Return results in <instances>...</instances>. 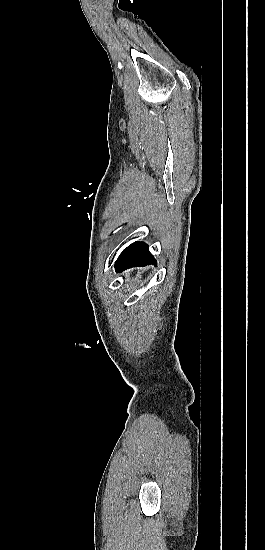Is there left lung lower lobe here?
Segmentation results:
<instances>
[{
	"mask_svg": "<svg viewBox=\"0 0 265 550\" xmlns=\"http://www.w3.org/2000/svg\"><path fill=\"white\" fill-rule=\"evenodd\" d=\"M156 264L155 259L148 250V246L143 242L132 243L119 256L115 263L118 272L134 267Z\"/></svg>",
	"mask_w": 265,
	"mask_h": 550,
	"instance_id": "1",
	"label": "left lung lower lobe"
}]
</instances>
